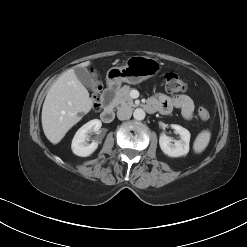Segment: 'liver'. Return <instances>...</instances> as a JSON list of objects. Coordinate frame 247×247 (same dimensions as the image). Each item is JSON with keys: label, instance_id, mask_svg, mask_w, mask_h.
<instances>
[{"label": "liver", "instance_id": "liver-1", "mask_svg": "<svg viewBox=\"0 0 247 247\" xmlns=\"http://www.w3.org/2000/svg\"><path fill=\"white\" fill-rule=\"evenodd\" d=\"M90 61L76 67H87ZM93 100L74 69L64 72L49 89L42 108V127L47 139L59 143L65 134L87 114Z\"/></svg>", "mask_w": 247, "mask_h": 247}]
</instances>
